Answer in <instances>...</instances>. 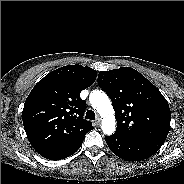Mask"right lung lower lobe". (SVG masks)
Segmentation results:
<instances>
[{
	"label": "right lung lower lobe",
	"instance_id": "1",
	"mask_svg": "<svg viewBox=\"0 0 184 184\" xmlns=\"http://www.w3.org/2000/svg\"><path fill=\"white\" fill-rule=\"evenodd\" d=\"M83 141L77 145L66 147L63 149L54 150L45 154H41L42 157L51 160H60L73 155L82 145Z\"/></svg>",
	"mask_w": 184,
	"mask_h": 184
}]
</instances>
